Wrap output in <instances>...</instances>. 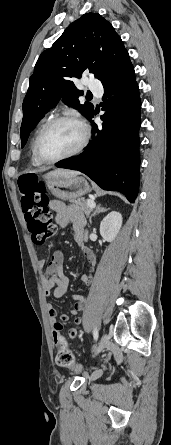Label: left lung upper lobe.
<instances>
[{"mask_svg": "<svg viewBox=\"0 0 171 445\" xmlns=\"http://www.w3.org/2000/svg\"><path fill=\"white\" fill-rule=\"evenodd\" d=\"M129 54L113 26L100 14L87 13L70 24L36 62L23 102L21 147L43 116L61 99L89 119L92 103L80 104L73 80L89 70L104 84L124 65Z\"/></svg>", "mask_w": 171, "mask_h": 445, "instance_id": "1", "label": "left lung upper lobe"}]
</instances>
